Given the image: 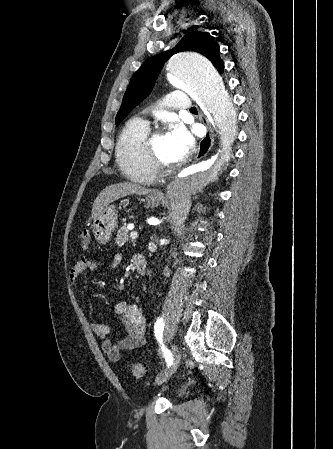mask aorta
Segmentation results:
<instances>
[{
  "mask_svg": "<svg viewBox=\"0 0 333 449\" xmlns=\"http://www.w3.org/2000/svg\"><path fill=\"white\" fill-rule=\"evenodd\" d=\"M168 80L174 87L194 95L212 123L218 125L225 137L233 136L235 111L223 80L203 55L196 52H178L167 61ZM231 157L223 148L179 174L167 186V195L173 213L174 226L184 222L190 212L192 196L203 192L219 180L223 168Z\"/></svg>",
  "mask_w": 333,
  "mask_h": 449,
  "instance_id": "obj_1",
  "label": "aorta"
}]
</instances>
